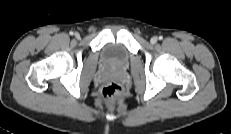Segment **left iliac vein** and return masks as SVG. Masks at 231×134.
Listing matches in <instances>:
<instances>
[{"mask_svg":"<svg viewBox=\"0 0 231 134\" xmlns=\"http://www.w3.org/2000/svg\"><path fill=\"white\" fill-rule=\"evenodd\" d=\"M150 42L152 44H155L157 42V37H152L151 40H150Z\"/></svg>","mask_w":231,"mask_h":134,"instance_id":"left-iliac-vein-1","label":"left iliac vein"}]
</instances>
